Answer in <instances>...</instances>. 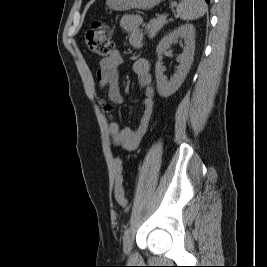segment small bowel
<instances>
[{
  "label": "small bowel",
  "mask_w": 267,
  "mask_h": 267,
  "mask_svg": "<svg viewBox=\"0 0 267 267\" xmlns=\"http://www.w3.org/2000/svg\"><path fill=\"white\" fill-rule=\"evenodd\" d=\"M142 23V16L137 14L126 15L122 17L120 21L121 27L129 34V43L135 48H140L143 45L144 36L141 29ZM121 63L122 55L117 50L113 51L109 57L103 58L99 62L97 81L99 86L106 90L109 101L106 102L103 98H100L102 108L109 119V131L112 145L115 148L132 151L139 146L148 128L154 106V91L149 62L144 58H139L133 63L132 68L137 76L138 84L144 89L145 99L143 102V112L136 129L120 127L119 124L113 120L114 116L112 111L113 105L123 102L118 74V67Z\"/></svg>",
  "instance_id": "c3829d8e"
}]
</instances>
